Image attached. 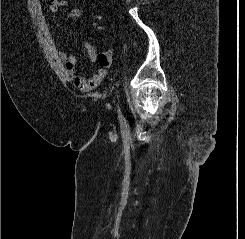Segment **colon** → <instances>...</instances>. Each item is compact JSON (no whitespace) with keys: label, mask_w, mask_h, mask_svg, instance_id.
<instances>
[{"label":"colon","mask_w":245,"mask_h":239,"mask_svg":"<svg viewBox=\"0 0 245 239\" xmlns=\"http://www.w3.org/2000/svg\"><path fill=\"white\" fill-rule=\"evenodd\" d=\"M46 2L48 3V4H52L53 2H55L54 0H46Z\"/></svg>","instance_id":"1"}]
</instances>
